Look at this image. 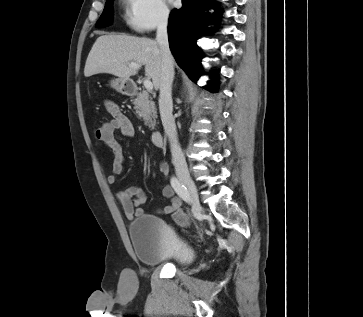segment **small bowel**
<instances>
[{"instance_id": "small-bowel-1", "label": "small bowel", "mask_w": 363, "mask_h": 317, "mask_svg": "<svg viewBox=\"0 0 363 317\" xmlns=\"http://www.w3.org/2000/svg\"><path fill=\"white\" fill-rule=\"evenodd\" d=\"M105 106L112 119L101 125L95 131V135L112 151L113 165L111 173L107 177V182L113 185L116 182V177L123 172L124 168L123 148L116 140L115 132L119 131L124 137H132L134 135V126L116 103L107 101ZM159 169L161 174L167 178L169 174L167 164L165 162L160 163ZM162 192L164 197L171 199V203L158 210V212L161 214H175L180 212L182 201L179 197L175 196L173 187L166 185ZM115 198L128 219L145 214L142 205L146 202L147 197L142 188L131 186L125 190L116 191Z\"/></svg>"}]
</instances>
